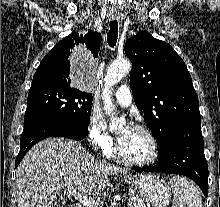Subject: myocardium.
<instances>
[{"label": "myocardium", "mask_w": 220, "mask_h": 207, "mask_svg": "<svg viewBox=\"0 0 220 207\" xmlns=\"http://www.w3.org/2000/svg\"><path fill=\"white\" fill-rule=\"evenodd\" d=\"M134 128L142 131L149 138L151 145H152V152H151L150 156L144 160L130 159L123 154L118 140L116 141V144H115L114 153H115L116 157L125 164L132 165V166L149 165V164L153 163L156 160V158L158 157V153H159L158 140H157L155 134L152 132V130L150 128H148L147 126L142 125V124H138V125H135Z\"/></svg>", "instance_id": "obj_1"}]
</instances>
